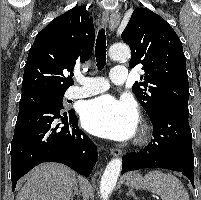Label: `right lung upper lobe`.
I'll list each match as a JSON object with an SVG mask.
<instances>
[{
    "instance_id": "cb5924a9",
    "label": "right lung upper lobe",
    "mask_w": 201,
    "mask_h": 200,
    "mask_svg": "<svg viewBox=\"0 0 201 200\" xmlns=\"http://www.w3.org/2000/svg\"><path fill=\"white\" fill-rule=\"evenodd\" d=\"M88 16L85 7L76 6L37 34L24 70L22 96L65 93L73 84L67 73L84 64L94 46V25Z\"/></svg>"
}]
</instances>
